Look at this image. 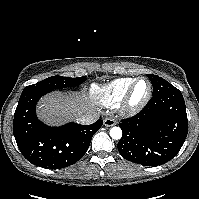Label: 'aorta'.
<instances>
[{"instance_id": "obj_1", "label": "aorta", "mask_w": 199, "mask_h": 199, "mask_svg": "<svg viewBox=\"0 0 199 199\" xmlns=\"http://www.w3.org/2000/svg\"><path fill=\"white\" fill-rule=\"evenodd\" d=\"M110 136L112 139L118 140L122 137V130L119 127H112L110 130Z\"/></svg>"}]
</instances>
